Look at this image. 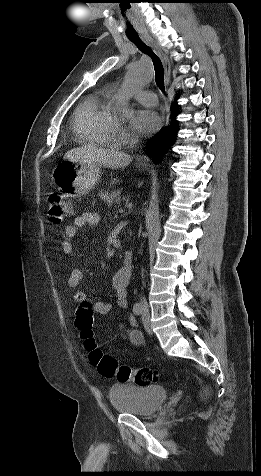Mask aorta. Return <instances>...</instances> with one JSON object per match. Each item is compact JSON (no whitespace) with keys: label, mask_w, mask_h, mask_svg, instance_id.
<instances>
[{"label":"aorta","mask_w":261,"mask_h":476,"mask_svg":"<svg viewBox=\"0 0 261 476\" xmlns=\"http://www.w3.org/2000/svg\"><path fill=\"white\" fill-rule=\"evenodd\" d=\"M151 79V72L140 66H132L128 70L125 82V89L121 91L115 101L114 110L118 118L125 119L129 117L133 110L129 105V97L132 89Z\"/></svg>","instance_id":"aorta-1"}]
</instances>
